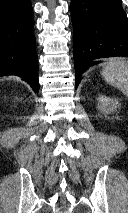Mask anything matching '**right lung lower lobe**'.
Returning <instances> with one entry per match:
<instances>
[{
  "instance_id": "right-lung-lower-lobe-1",
  "label": "right lung lower lobe",
  "mask_w": 128,
  "mask_h": 213,
  "mask_svg": "<svg viewBox=\"0 0 128 213\" xmlns=\"http://www.w3.org/2000/svg\"><path fill=\"white\" fill-rule=\"evenodd\" d=\"M31 0H0V76L22 77L39 91Z\"/></svg>"
}]
</instances>
